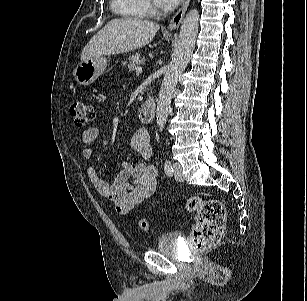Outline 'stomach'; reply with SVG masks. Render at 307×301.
<instances>
[{"label":"stomach","instance_id":"obj_1","mask_svg":"<svg viewBox=\"0 0 307 301\" xmlns=\"http://www.w3.org/2000/svg\"><path fill=\"white\" fill-rule=\"evenodd\" d=\"M107 59L103 56L82 61L74 70V79L79 85H90L103 74Z\"/></svg>","mask_w":307,"mask_h":301}]
</instances>
